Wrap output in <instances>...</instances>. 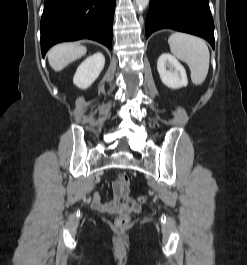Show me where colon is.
Here are the masks:
<instances>
[{
  "label": "colon",
  "mask_w": 247,
  "mask_h": 265,
  "mask_svg": "<svg viewBox=\"0 0 247 265\" xmlns=\"http://www.w3.org/2000/svg\"><path fill=\"white\" fill-rule=\"evenodd\" d=\"M117 183L119 184L121 190L123 192L129 191V178L125 173H119ZM139 202H144L142 197L138 198ZM129 216L127 215H119L115 220V226L118 229H124L129 224Z\"/></svg>",
  "instance_id": "colon-1"
}]
</instances>
